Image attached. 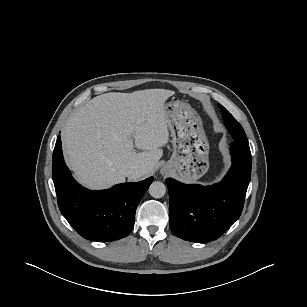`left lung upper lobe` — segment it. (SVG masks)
<instances>
[{
  "label": "left lung upper lobe",
  "instance_id": "obj_1",
  "mask_svg": "<svg viewBox=\"0 0 307 307\" xmlns=\"http://www.w3.org/2000/svg\"><path fill=\"white\" fill-rule=\"evenodd\" d=\"M221 109L225 126L227 127L229 133L234 138L244 145H248V140L242 126L235 120V118L220 104L218 105Z\"/></svg>",
  "mask_w": 307,
  "mask_h": 307
}]
</instances>
